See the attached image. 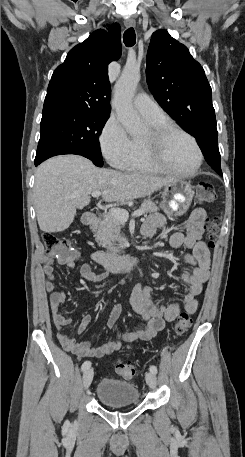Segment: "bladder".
Segmentation results:
<instances>
[{
    "label": "bladder",
    "mask_w": 245,
    "mask_h": 457,
    "mask_svg": "<svg viewBox=\"0 0 245 457\" xmlns=\"http://www.w3.org/2000/svg\"><path fill=\"white\" fill-rule=\"evenodd\" d=\"M96 397L107 406L134 404L138 403L139 391L125 381L103 377L97 384Z\"/></svg>",
    "instance_id": "31cf9c89"
}]
</instances>
